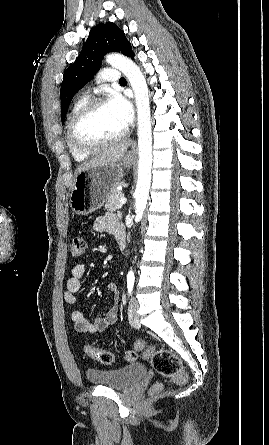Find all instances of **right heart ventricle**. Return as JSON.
<instances>
[{
    "instance_id": "obj_1",
    "label": "right heart ventricle",
    "mask_w": 269,
    "mask_h": 445,
    "mask_svg": "<svg viewBox=\"0 0 269 445\" xmlns=\"http://www.w3.org/2000/svg\"><path fill=\"white\" fill-rule=\"evenodd\" d=\"M87 102V97L86 96H82L80 97L72 106L70 114H69V119H68V124L72 118V116L76 113V111ZM68 124H67V128H66V142H67V147L72 155V157L78 161V162H82L84 160H86L90 154L89 153H82L79 152L78 150H76L69 142L68 140V136H67V131H68Z\"/></svg>"
}]
</instances>
